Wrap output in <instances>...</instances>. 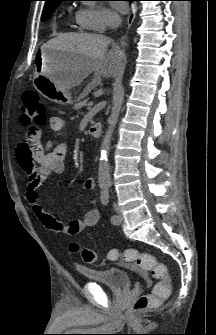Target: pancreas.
Listing matches in <instances>:
<instances>
[{"label": "pancreas", "instance_id": "cf45deb5", "mask_svg": "<svg viewBox=\"0 0 216 335\" xmlns=\"http://www.w3.org/2000/svg\"><path fill=\"white\" fill-rule=\"evenodd\" d=\"M88 94V91H84L83 93H81L77 99V103L74 105V109L78 110L80 108H82L83 106L87 105V99L86 96Z\"/></svg>", "mask_w": 216, "mask_h": 335}]
</instances>
